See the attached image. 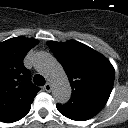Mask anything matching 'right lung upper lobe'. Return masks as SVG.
I'll return each mask as SVG.
<instances>
[{
    "mask_svg": "<svg viewBox=\"0 0 128 128\" xmlns=\"http://www.w3.org/2000/svg\"><path fill=\"white\" fill-rule=\"evenodd\" d=\"M36 44L35 39L21 36L0 43V121L31 103L39 91L23 64Z\"/></svg>",
    "mask_w": 128,
    "mask_h": 128,
    "instance_id": "cb5924a9",
    "label": "right lung upper lobe"
}]
</instances>
